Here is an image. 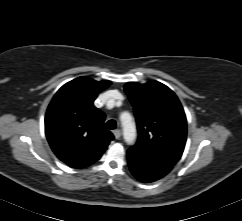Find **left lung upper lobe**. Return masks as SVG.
Wrapping results in <instances>:
<instances>
[{
    "label": "left lung upper lobe",
    "mask_w": 242,
    "mask_h": 221,
    "mask_svg": "<svg viewBox=\"0 0 242 221\" xmlns=\"http://www.w3.org/2000/svg\"><path fill=\"white\" fill-rule=\"evenodd\" d=\"M124 89L134 107L139 134L130 149L175 165L187 135L186 116L175 93L158 81L129 82Z\"/></svg>",
    "instance_id": "obj_1"
}]
</instances>
